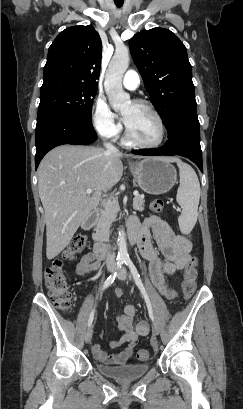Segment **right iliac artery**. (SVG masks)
<instances>
[{"mask_svg": "<svg viewBox=\"0 0 243 409\" xmlns=\"http://www.w3.org/2000/svg\"><path fill=\"white\" fill-rule=\"evenodd\" d=\"M124 260L123 259H118L116 262L117 270L112 273L104 282L102 290L108 288L115 280V278L118 275V270L123 266ZM94 313H95V308L92 309L89 319H88V327L92 325L93 319H94Z\"/></svg>", "mask_w": 243, "mask_h": 409, "instance_id": "1", "label": "right iliac artery"}]
</instances>
